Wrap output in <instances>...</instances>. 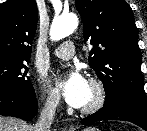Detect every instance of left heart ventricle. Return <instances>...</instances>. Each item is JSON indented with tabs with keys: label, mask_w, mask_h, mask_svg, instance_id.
<instances>
[{
	"label": "left heart ventricle",
	"mask_w": 147,
	"mask_h": 131,
	"mask_svg": "<svg viewBox=\"0 0 147 131\" xmlns=\"http://www.w3.org/2000/svg\"><path fill=\"white\" fill-rule=\"evenodd\" d=\"M93 97H94L93 91H92L91 87L89 86L88 96H87L86 101L83 106L89 104L93 100Z\"/></svg>",
	"instance_id": "b2bd125f"
}]
</instances>
